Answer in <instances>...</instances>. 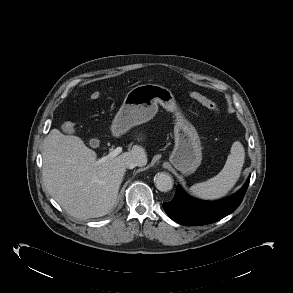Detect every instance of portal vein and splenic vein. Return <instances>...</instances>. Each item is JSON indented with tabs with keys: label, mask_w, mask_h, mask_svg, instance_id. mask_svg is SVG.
I'll return each mask as SVG.
<instances>
[{
	"label": "portal vein and splenic vein",
	"mask_w": 293,
	"mask_h": 293,
	"mask_svg": "<svg viewBox=\"0 0 293 293\" xmlns=\"http://www.w3.org/2000/svg\"><path fill=\"white\" fill-rule=\"evenodd\" d=\"M121 152H122V147H117L114 150H112L111 152H109L108 155L104 156L100 161H105L107 159L114 158V157L118 156Z\"/></svg>",
	"instance_id": "1"
}]
</instances>
